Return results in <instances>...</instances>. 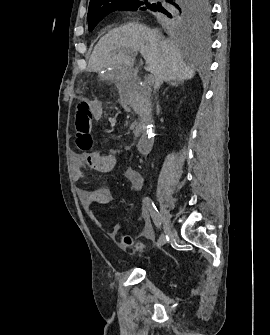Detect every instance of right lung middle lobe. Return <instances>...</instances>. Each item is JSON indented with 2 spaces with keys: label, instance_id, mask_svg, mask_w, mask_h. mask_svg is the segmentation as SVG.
<instances>
[{
  "label": "right lung middle lobe",
  "instance_id": "obj_1",
  "mask_svg": "<svg viewBox=\"0 0 270 335\" xmlns=\"http://www.w3.org/2000/svg\"><path fill=\"white\" fill-rule=\"evenodd\" d=\"M210 0H168L161 3H151L147 0H117L97 7H89V31L109 13L116 10H151L160 12L158 20L172 29H193L207 25Z\"/></svg>",
  "mask_w": 270,
  "mask_h": 335
}]
</instances>
